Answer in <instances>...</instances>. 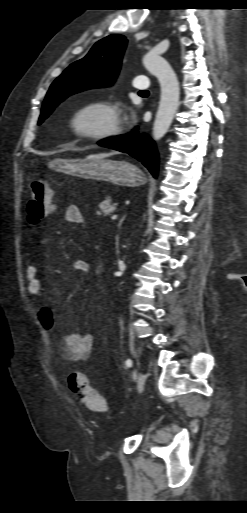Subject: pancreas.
<instances>
[{
  "instance_id": "1",
  "label": "pancreas",
  "mask_w": 247,
  "mask_h": 513,
  "mask_svg": "<svg viewBox=\"0 0 247 513\" xmlns=\"http://www.w3.org/2000/svg\"><path fill=\"white\" fill-rule=\"evenodd\" d=\"M116 209L117 204L112 203L111 199L107 197L99 204V211H97V215L105 217L107 215H111Z\"/></svg>"
}]
</instances>
